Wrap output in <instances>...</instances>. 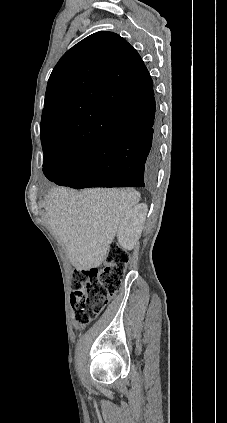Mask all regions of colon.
I'll use <instances>...</instances> for the list:
<instances>
[{"mask_svg":"<svg viewBox=\"0 0 227 423\" xmlns=\"http://www.w3.org/2000/svg\"><path fill=\"white\" fill-rule=\"evenodd\" d=\"M129 254L112 245L101 268L77 270L72 282L74 321L82 327L94 320L119 291Z\"/></svg>","mask_w":227,"mask_h":423,"instance_id":"1","label":"colon"}]
</instances>
